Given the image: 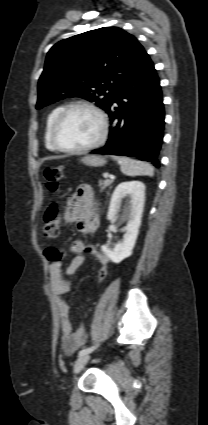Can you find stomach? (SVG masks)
I'll return each instance as SVG.
<instances>
[{"mask_svg":"<svg viewBox=\"0 0 208 425\" xmlns=\"http://www.w3.org/2000/svg\"><path fill=\"white\" fill-rule=\"evenodd\" d=\"M81 162L91 167H99L106 163V159L96 155H87L81 159Z\"/></svg>","mask_w":208,"mask_h":425,"instance_id":"obj_1","label":"stomach"}]
</instances>
